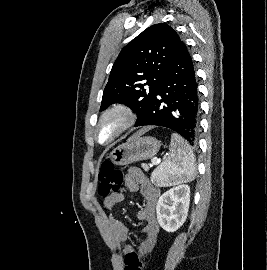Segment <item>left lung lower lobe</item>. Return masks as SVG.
Wrapping results in <instances>:
<instances>
[{
    "mask_svg": "<svg viewBox=\"0 0 267 270\" xmlns=\"http://www.w3.org/2000/svg\"><path fill=\"white\" fill-rule=\"evenodd\" d=\"M198 119L199 98L195 71L187 47L181 42L153 102L135 126L169 128L194 146Z\"/></svg>",
    "mask_w": 267,
    "mask_h": 270,
    "instance_id": "obj_1",
    "label": "left lung lower lobe"
}]
</instances>
